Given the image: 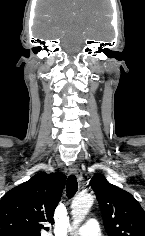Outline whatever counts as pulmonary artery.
Returning <instances> with one entry per match:
<instances>
[{"label":"pulmonary artery","instance_id":"e3ab8cb5","mask_svg":"<svg viewBox=\"0 0 145 236\" xmlns=\"http://www.w3.org/2000/svg\"><path fill=\"white\" fill-rule=\"evenodd\" d=\"M77 234L79 236H101L99 223L95 219H90L77 229Z\"/></svg>","mask_w":145,"mask_h":236}]
</instances>
